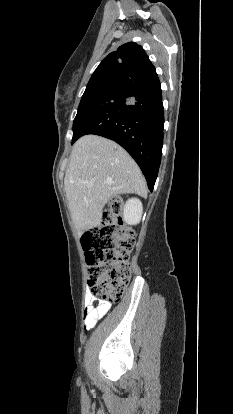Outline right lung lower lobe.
Listing matches in <instances>:
<instances>
[{"label":"right lung lower lobe","mask_w":233,"mask_h":414,"mask_svg":"<svg viewBox=\"0 0 233 414\" xmlns=\"http://www.w3.org/2000/svg\"><path fill=\"white\" fill-rule=\"evenodd\" d=\"M163 125L162 92L154 74L134 80L122 95L90 111L78 127L77 139L95 134L120 144L140 166L152 191L161 162Z\"/></svg>","instance_id":"right-lung-lower-lobe-1"}]
</instances>
